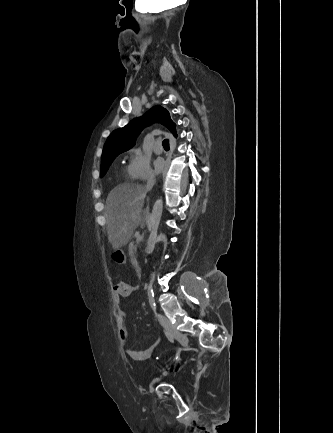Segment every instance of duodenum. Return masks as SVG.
<instances>
[{
  "instance_id": "410a0bca",
  "label": "duodenum",
  "mask_w": 333,
  "mask_h": 433,
  "mask_svg": "<svg viewBox=\"0 0 333 433\" xmlns=\"http://www.w3.org/2000/svg\"><path fill=\"white\" fill-rule=\"evenodd\" d=\"M134 245H135V242L134 241H131L130 242V244H129V249H134ZM130 257H131V263H134L133 264V267L134 268H137L139 265L136 263L137 262V259L136 258H132L134 255L131 253L130 255H129ZM137 275L139 276V277H142L143 276V271H142V268L141 267H139L138 269H137Z\"/></svg>"
}]
</instances>
